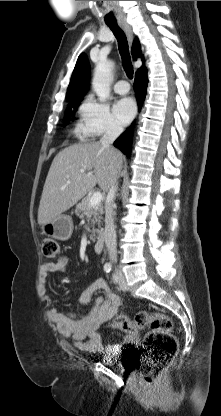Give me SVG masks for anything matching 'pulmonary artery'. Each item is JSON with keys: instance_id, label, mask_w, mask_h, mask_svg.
Here are the masks:
<instances>
[{"instance_id": "1", "label": "pulmonary artery", "mask_w": 221, "mask_h": 416, "mask_svg": "<svg viewBox=\"0 0 221 416\" xmlns=\"http://www.w3.org/2000/svg\"><path fill=\"white\" fill-rule=\"evenodd\" d=\"M114 90H115L116 93H118L120 95H124V94H127L130 91V87H129V84L126 80L120 79L116 82V84L114 86Z\"/></svg>"}]
</instances>
